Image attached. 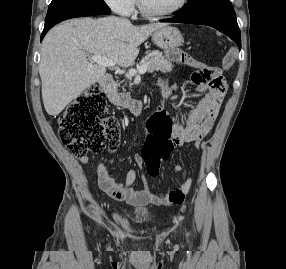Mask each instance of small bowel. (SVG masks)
Returning <instances> with one entry per match:
<instances>
[{
  "mask_svg": "<svg viewBox=\"0 0 286 269\" xmlns=\"http://www.w3.org/2000/svg\"><path fill=\"white\" fill-rule=\"evenodd\" d=\"M226 89L227 87L224 90ZM161 93L163 102L160 107H164L168 111V105L172 97V90L169 88H161ZM207 96L189 110L187 118L183 124L174 123V126H171L173 138L177 142L176 147L182 146L185 143H193L196 148H199L202 145V138L207 136L213 129L218 118L221 105H219V110H204V105H206V100H208ZM222 101L223 100H221V103ZM80 162L82 164H87L88 157H81ZM134 163L139 169H142L145 165L144 156L141 154L135 155ZM173 169L176 172H182L183 166L175 164ZM136 178L137 174L132 170L127 173L125 182H118L111 178L106 165H102L98 168V185L100 189L116 200L134 204L179 206L183 203L178 199L180 192L185 191L187 193L192 184V179L187 178L179 189L166 194H155L149 190L148 180L144 176L142 177V183L144 185L143 188H133L132 185L136 181Z\"/></svg>",
  "mask_w": 286,
  "mask_h": 269,
  "instance_id": "small-bowel-1",
  "label": "small bowel"
}]
</instances>
